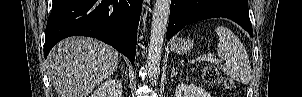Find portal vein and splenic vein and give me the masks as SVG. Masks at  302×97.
Returning <instances> with one entry per match:
<instances>
[{
  "label": "portal vein and splenic vein",
  "mask_w": 302,
  "mask_h": 97,
  "mask_svg": "<svg viewBox=\"0 0 302 97\" xmlns=\"http://www.w3.org/2000/svg\"><path fill=\"white\" fill-rule=\"evenodd\" d=\"M198 61H208V62H211V63H219V60L213 58V57H209V56H201V57H198L196 58V60L194 62H198Z\"/></svg>",
  "instance_id": "obj_1"
}]
</instances>
